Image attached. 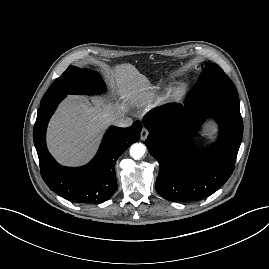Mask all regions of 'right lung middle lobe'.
Here are the masks:
<instances>
[{"instance_id":"obj_1","label":"right lung middle lobe","mask_w":269,"mask_h":269,"mask_svg":"<svg viewBox=\"0 0 269 269\" xmlns=\"http://www.w3.org/2000/svg\"><path fill=\"white\" fill-rule=\"evenodd\" d=\"M103 82L96 72L69 66L44 94L41 103L67 94H94L103 90Z\"/></svg>"}]
</instances>
